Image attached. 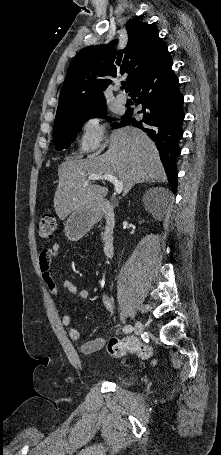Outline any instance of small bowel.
<instances>
[{"instance_id":"obj_1","label":"small bowel","mask_w":221,"mask_h":455,"mask_svg":"<svg viewBox=\"0 0 221 455\" xmlns=\"http://www.w3.org/2000/svg\"><path fill=\"white\" fill-rule=\"evenodd\" d=\"M60 246L58 243L45 248L39 255L38 267L42 275L43 282L48 291L53 297H59L63 292H70L77 299L85 300L89 298L90 292L87 289H79L71 281L65 280L59 285L53 275L54 259L58 256ZM62 324L68 327L71 323V316L64 314L61 318ZM68 335L71 340L79 341L81 339L80 332L75 328L68 330ZM105 343L104 338L98 337L83 343L80 350L84 354H91L100 350Z\"/></svg>"}]
</instances>
